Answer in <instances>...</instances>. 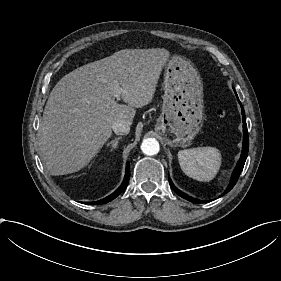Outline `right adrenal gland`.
I'll return each instance as SVG.
<instances>
[{
	"instance_id": "right-adrenal-gland-1",
	"label": "right adrenal gland",
	"mask_w": 281,
	"mask_h": 281,
	"mask_svg": "<svg viewBox=\"0 0 281 281\" xmlns=\"http://www.w3.org/2000/svg\"><path fill=\"white\" fill-rule=\"evenodd\" d=\"M122 139V137L120 136V137H116L115 139H113L112 141H110L109 143H107V147L108 146H111V152L114 150V149H116L117 147H118V142H119V140H121Z\"/></svg>"
}]
</instances>
